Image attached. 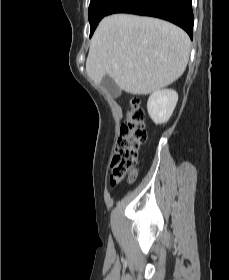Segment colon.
I'll return each instance as SVG.
<instances>
[{
	"label": "colon",
	"instance_id": "5ec220e1",
	"mask_svg": "<svg viewBox=\"0 0 229 280\" xmlns=\"http://www.w3.org/2000/svg\"><path fill=\"white\" fill-rule=\"evenodd\" d=\"M145 113L141 108L139 97L129 100L127 119L121 127L119 139L110 162L111 174L114 179H123L138 163V151L146 142ZM129 181L133 177L128 178Z\"/></svg>",
	"mask_w": 229,
	"mask_h": 280
}]
</instances>
